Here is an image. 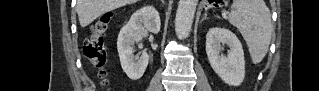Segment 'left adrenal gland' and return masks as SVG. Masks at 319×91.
Wrapping results in <instances>:
<instances>
[{
    "instance_id": "a2214340",
    "label": "left adrenal gland",
    "mask_w": 319,
    "mask_h": 91,
    "mask_svg": "<svg viewBox=\"0 0 319 91\" xmlns=\"http://www.w3.org/2000/svg\"><path fill=\"white\" fill-rule=\"evenodd\" d=\"M207 19H209V18L207 17V13L205 12L204 17L202 18V21L207 20Z\"/></svg>"
}]
</instances>
